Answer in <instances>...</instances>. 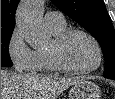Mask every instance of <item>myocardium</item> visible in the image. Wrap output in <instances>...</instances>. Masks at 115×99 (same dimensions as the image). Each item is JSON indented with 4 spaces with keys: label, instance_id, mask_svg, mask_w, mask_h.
<instances>
[{
    "label": "myocardium",
    "instance_id": "myocardium-1",
    "mask_svg": "<svg viewBox=\"0 0 115 99\" xmlns=\"http://www.w3.org/2000/svg\"><path fill=\"white\" fill-rule=\"evenodd\" d=\"M73 34H81L85 36L93 44L96 51V62L88 68H76L66 64L61 57V48L65 41ZM48 56L51 64L56 70L73 73V74H88L96 71L102 64L103 53L97 39L88 31L82 28H67L62 33L54 37L48 49Z\"/></svg>",
    "mask_w": 115,
    "mask_h": 99
}]
</instances>
